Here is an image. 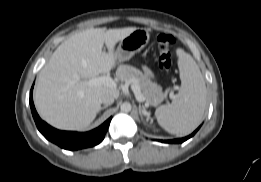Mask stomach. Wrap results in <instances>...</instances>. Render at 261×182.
Returning a JSON list of instances; mask_svg holds the SVG:
<instances>
[{
	"label": "stomach",
	"instance_id": "1",
	"mask_svg": "<svg viewBox=\"0 0 261 182\" xmlns=\"http://www.w3.org/2000/svg\"><path fill=\"white\" fill-rule=\"evenodd\" d=\"M149 39L150 34L147 29L137 28L134 30L120 41L115 51L117 61L123 62L129 60L148 44Z\"/></svg>",
	"mask_w": 261,
	"mask_h": 182
}]
</instances>
